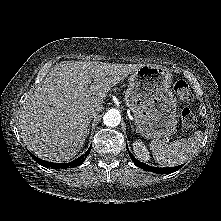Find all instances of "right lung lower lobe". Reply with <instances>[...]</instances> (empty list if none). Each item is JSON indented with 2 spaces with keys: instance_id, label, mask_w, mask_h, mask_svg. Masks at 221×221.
<instances>
[{
  "instance_id": "obj_1",
  "label": "right lung lower lobe",
  "mask_w": 221,
  "mask_h": 221,
  "mask_svg": "<svg viewBox=\"0 0 221 221\" xmlns=\"http://www.w3.org/2000/svg\"><path fill=\"white\" fill-rule=\"evenodd\" d=\"M90 151H91V147H89V149L85 152L84 155L78 157L77 159L69 163H51V162H47L45 160L39 159L31 153L30 155L34 158V160L37 163L43 165L44 167H47V168L49 167V168H54V169H66V168H73V167L81 165L83 161L85 160V158L89 155Z\"/></svg>"
}]
</instances>
